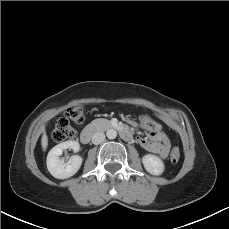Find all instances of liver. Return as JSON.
Here are the masks:
<instances>
[{"label":"liver","mask_w":229,"mask_h":229,"mask_svg":"<svg viewBox=\"0 0 229 229\" xmlns=\"http://www.w3.org/2000/svg\"><path fill=\"white\" fill-rule=\"evenodd\" d=\"M42 138H41V146H42V150L45 151L47 149L48 146V137L46 135L45 129H42Z\"/></svg>","instance_id":"liver-1"}]
</instances>
